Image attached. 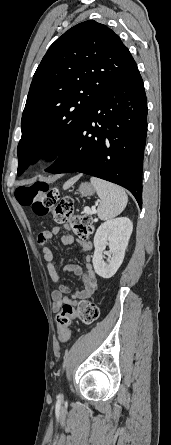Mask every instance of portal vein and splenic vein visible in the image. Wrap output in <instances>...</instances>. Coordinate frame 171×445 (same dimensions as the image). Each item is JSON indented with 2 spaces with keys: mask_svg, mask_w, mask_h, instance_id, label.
Wrapping results in <instances>:
<instances>
[{
  "mask_svg": "<svg viewBox=\"0 0 171 445\" xmlns=\"http://www.w3.org/2000/svg\"><path fill=\"white\" fill-rule=\"evenodd\" d=\"M97 204V203H96ZM84 211H85V213H87V214H92L93 213V211L90 209V208H88V207H86L85 209H84Z\"/></svg>",
  "mask_w": 171,
  "mask_h": 445,
  "instance_id": "18ae733b",
  "label": "portal vein and splenic vein"
}]
</instances>
